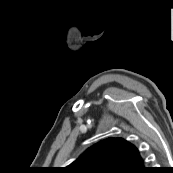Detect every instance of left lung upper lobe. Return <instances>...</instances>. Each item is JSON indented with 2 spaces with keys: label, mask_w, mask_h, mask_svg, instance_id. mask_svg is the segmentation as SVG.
Returning a JSON list of instances; mask_svg holds the SVG:
<instances>
[{
  "label": "left lung upper lobe",
  "mask_w": 173,
  "mask_h": 173,
  "mask_svg": "<svg viewBox=\"0 0 173 173\" xmlns=\"http://www.w3.org/2000/svg\"><path fill=\"white\" fill-rule=\"evenodd\" d=\"M68 173H142L138 149L122 138H108L88 148L67 168Z\"/></svg>",
  "instance_id": "1"
}]
</instances>
